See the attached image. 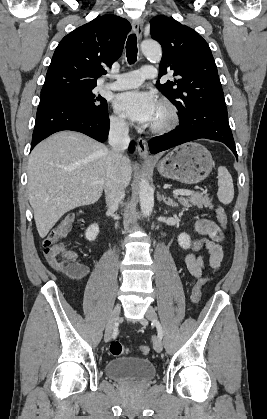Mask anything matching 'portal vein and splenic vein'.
I'll return each instance as SVG.
<instances>
[{
	"mask_svg": "<svg viewBox=\"0 0 267 419\" xmlns=\"http://www.w3.org/2000/svg\"><path fill=\"white\" fill-rule=\"evenodd\" d=\"M174 196L178 195H191L193 194V191L191 190H184V189H176L173 191Z\"/></svg>",
	"mask_w": 267,
	"mask_h": 419,
	"instance_id": "portal-vein-and-splenic-vein-1",
	"label": "portal vein and splenic vein"
}]
</instances>
